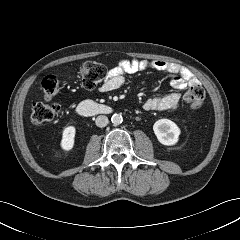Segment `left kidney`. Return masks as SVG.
Segmentation results:
<instances>
[{"mask_svg":"<svg viewBox=\"0 0 240 240\" xmlns=\"http://www.w3.org/2000/svg\"><path fill=\"white\" fill-rule=\"evenodd\" d=\"M158 141L167 146L175 145L179 140L180 128L169 119H160L153 125Z\"/></svg>","mask_w":240,"mask_h":240,"instance_id":"1","label":"left kidney"}]
</instances>
